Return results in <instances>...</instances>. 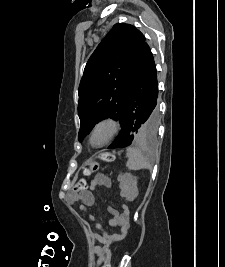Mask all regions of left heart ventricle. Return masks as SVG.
I'll list each match as a JSON object with an SVG mask.
<instances>
[{
  "label": "left heart ventricle",
  "instance_id": "left-heart-ventricle-1",
  "mask_svg": "<svg viewBox=\"0 0 225 267\" xmlns=\"http://www.w3.org/2000/svg\"><path fill=\"white\" fill-rule=\"evenodd\" d=\"M109 134H110L109 125L104 124V125L99 126L93 134V137H92L93 144L95 145L101 144L107 139Z\"/></svg>",
  "mask_w": 225,
  "mask_h": 267
}]
</instances>
